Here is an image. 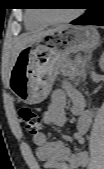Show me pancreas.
Listing matches in <instances>:
<instances>
[{"label": "pancreas", "mask_w": 104, "mask_h": 169, "mask_svg": "<svg viewBox=\"0 0 104 169\" xmlns=\"http://www.w3.org/2000/svg\"><path fill=\"white\" fill-rule=\"evenodd\" d=\"M63 66L68 68L67 70H63V74L69 79L85 75L86 62L80 56H77L74 60L66 59Z\"/></svg>", "instance_id": "cf45deb5"}]
</instances>
